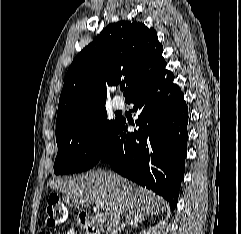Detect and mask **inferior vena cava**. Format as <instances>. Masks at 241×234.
<instances>
[{"instance_id":"602c4592","label":"inferior vena cava","mask_w":241,"mask_h":234,"mask_svg":"<svg viewBox=\"0 0 241 234\" xmlns=\"http://www.w3.org/2000/svg\"><path fill=\"white\" fill-rule=\"evenodd\" d=\"M119 221L120 215H115L112 217L107 227V234H117Z\"/></svg>"}]
</instances>
